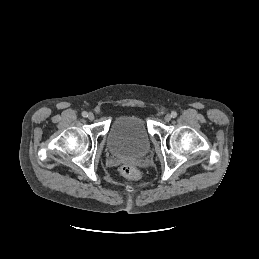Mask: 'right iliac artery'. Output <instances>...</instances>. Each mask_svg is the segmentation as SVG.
<instances>
[{"label":"right iliac artery","mask_w":259,"mask_h":259,"mask_svg":"<svg viewBox=\"0 0 259 259\" xmlns=\"http://www.w3.org/2000/svg\"><path fill=\"white\" fill-rule=\"evenodd\" d=\"M88 113L86 111L82 112L83 117H87Z\"/></svg>","instance_id":"obj_1"}]
</instances>
